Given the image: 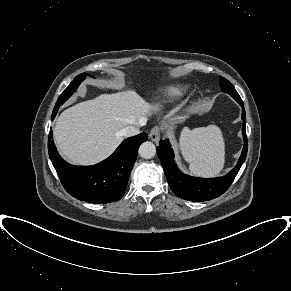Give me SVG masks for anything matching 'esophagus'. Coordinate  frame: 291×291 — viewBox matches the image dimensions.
Returning a JSON list of instances; mask_svg holds the SVG:
<instances>
[{"label":"esophagus","mask_w":291,"mask_h":291,"mask_svg":"<svg viewBox=\"0 0 291 291\" xmlns=\"http://www.w3.org/2000/svg\"><path fill=\"white\" fill-rule=\"evenodd\" d=\"M149 137L153 142L155 143L159 142L161 139L160 128L158 126L153 127L150 131Z\"/></svg>","instance_id":"1"}]
</instances>
